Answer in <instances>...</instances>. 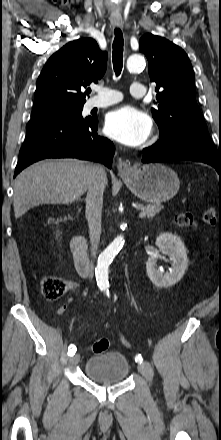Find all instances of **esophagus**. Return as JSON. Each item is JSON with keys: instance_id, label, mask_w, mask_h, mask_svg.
Wrapping results in <instances>:
<instances>
[{"instance_id": "34e87169", "label": "esophagus", "mask_w": 221, "mask_h": 440, "mask_svg": "<svg viewBox=\"0 0 221 440\" xmlns=\"http://www.w3.org/2000/svg\"><path fill=\"white\" fill-rule=\"evenodd\" d=\"M110 21H111V24H112L113 27H116V28H122L123 27V20H122L121 17H112L110 19ZM117 169H118V172H119V174L121 176H126V175H128V174H130L132 172L131 164L129 162H126V161H120L117 164Z\"/></svg>"}]
</instances>
